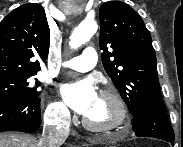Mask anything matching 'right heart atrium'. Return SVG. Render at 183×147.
I'll return each instance as SVG.
<instances>
[{"instance_id":"d8ad5b80","label":"right heart atrium","mask_w":183,"mask_h":147,"mask_svg":"<svg viewBox=\"0 0 183 147\" xmlns=\"http://www.w3.org/2000/svg\"><path fill=\"white\" fill-rule=\"evenodd\" d=\"M46 122L54 127L66 128L70 123V112L61 101L51 100L45 108Z\"/></svg>"}]
</instances>
